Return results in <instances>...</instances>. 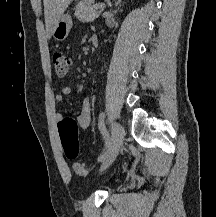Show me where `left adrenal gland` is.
I'll return each mask as SVG.
<instances>
[{"label":"left adrenal gland","mask_w":216,"mask_h":217,"mask_svg":"<svg viewBox=\"0 0 216 217\" xmlns=\"http://www.w3.org/2000/svg\"><path fill=\"white\" fill-rule=\"evenodd\" d=\"M121 3V0H117L115 3V7H117Z\"/></svg>","instance_id":"a2214340"}]
</instances>
